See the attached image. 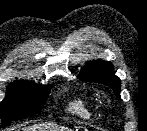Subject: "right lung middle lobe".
Segmentation results:
<instances>
[{
    "label": "right lung middle lobe",
    "instance_id": "right-lung-middle-lobe-1",
    "mask_svg": "<svg viewBox=\"0 0 147 131\" xmlns=\"http://www.w3.org/2000/svg\"><path fill=\"white\" fill-rule=\"evenodd\" d=\"M49 92L48 86L29 81H16L9 84L7 95L0 107L2 124H7L17 117L39 112Z\"/></svg>",
    "mask_w": 147,
    "mask_h": 131
}]
</instances>
